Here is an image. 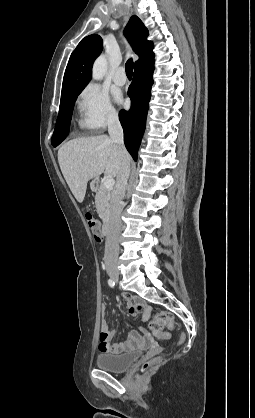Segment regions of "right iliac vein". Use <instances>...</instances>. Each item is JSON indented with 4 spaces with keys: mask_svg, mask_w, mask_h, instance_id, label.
Returning a JSON list of instances; mask_svg holds the SVG:
<instances>
[{
    "mask_svg": "<svg viewBox=\"0 0 255 418\" xmlns=\"http://www.w3.org/2000/svg\"><path fill=\"white\" fill-rule=\"evenodd\" d=\"M107 272H108V275L110 276V278L113 281H115V282L118 281V279H119V272H118V270H117L116 267H113V266L108 267Z\"/></svg>",
    "mask_w": 255,
    "mask_h": 418,
    "instance_id": "obj_1",
    "label": "right iliac vein"
}]
</instances>
